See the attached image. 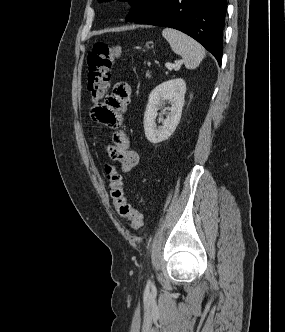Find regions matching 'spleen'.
<instances>
[{"label":"spleen","mask_w":285,"mask_h":332,"mask_svg":"<svg viewBox=\"0 0 285 332\" xmlns=\"http://www.w3.org/2000/svg\"><path fill=\"white\" fill-rule=\"evenodd\" d=\"M162 36L168 41L171 49L183 59L187 69H195L205 56V49L193 38L172 28H165Z\"/></svg>","instance_id":"1"}]
</instances>
